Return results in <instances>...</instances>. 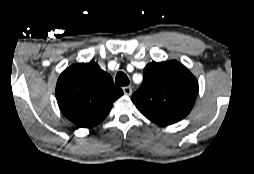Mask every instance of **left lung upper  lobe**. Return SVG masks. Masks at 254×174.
I'll use <instances>...</instances> for the list:
<instances>
[{
  "instance_id": "1",
  "label": "left lung upper lobe",
  "mask_w": 254,
  "mask_h": 174,
  "mask_svg": "<svg viewBox=\"0 0 254 174\" xmlns=\"http://www.w3.org/2000/svg\"><path fill=\"white\" fill-rule=\"evenodd\" d=\"M197 94V79L184 65L173 60L146 65L143 83L131 100L148 119L168 125L189 114Z\"/></svg>"
}]
</instances>
